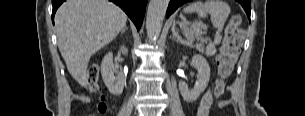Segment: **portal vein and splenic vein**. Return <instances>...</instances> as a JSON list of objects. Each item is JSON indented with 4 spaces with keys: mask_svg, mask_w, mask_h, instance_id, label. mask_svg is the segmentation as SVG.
<instances>
[{
    "mask_svg": "<svg viewBox=\"0 0 305 116\" xmlns=\"http://www.w3.org/2000/svg\"><path fill=\"white\" fill-rule=\"evenodd\" d=\"M199 27L206 30L207 29V25L204 23H198Z\"/></svg>",
    "mask_w": 305,
    "mask_h": 116,
    "instance_id": "18ae733b",
    "label": "portal vein and splenic vein"
}]
</instances>
